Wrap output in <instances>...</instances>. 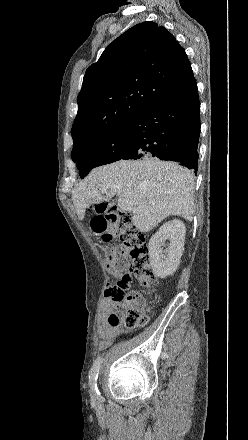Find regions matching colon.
Segmentation results:
<instances>
[{
	"label": "colon",
	"mask_w": 248,
	"mask_h": 440,
	"mask_svg": "<svg viewBox=\"0 0 248 440\" xmlns=\"http://www.w3.org/2000/svg\"><path fill=\"white\" fill-rule=\"evenodd\" d=\"M95 218H108L110 230L118 239L117 244L107 243L104 247L107 270L119 276L116 283L106 286L105 301L114 308L122 307L120 314L108 315V323L118 326L122 318L128 328L142 327L148 321V300L139 292L128 293L127 290L132 273L146 289L156 283L144 236L132 223L131 215L120 212L115 205L103 206L101 214Z\"/></svg>",
	"instance_id": "5ec220e1"
}]
</instances>
